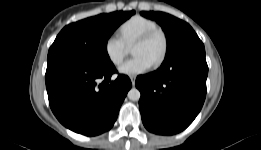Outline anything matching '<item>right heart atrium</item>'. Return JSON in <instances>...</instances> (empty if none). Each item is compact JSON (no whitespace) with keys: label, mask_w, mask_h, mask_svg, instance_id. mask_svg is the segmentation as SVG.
Wrapping results in <instances>:
<instances>
[{"label":"right heart atrium","mask_w":261,"mask_h":150,"mask_svg":"<svg viewBox=\"0 0 261 150\" xmlns=\"http://www.w3.org/2000/svg\"><path fill=\"white\" fill-rule=\"evenodd\" d=\"M104 51L109 61L117 66L126 57L129 47L118 35L112 34L105 40Z\"/></svg>","instance_id":"1"}]
</instances>
